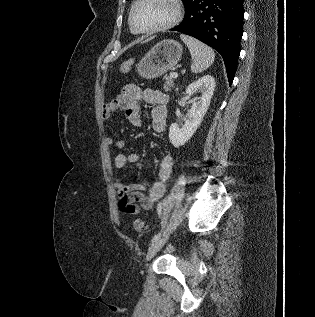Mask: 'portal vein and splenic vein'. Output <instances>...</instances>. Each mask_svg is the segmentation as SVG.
<instances>
[{"label":"portal vein and splenic vein","mask_w":315,"mask_h":317,"mask_svg":"<svg viewBox=\"0 0 315 317\" xmlns=\"http://www.w3.org/2000/svg\"><path fill=\"white\" fill-rule=\"evenodd\" d=\"M170 76H171L172 78H177V77H178V73H177V72H171V73H170Z\"/></svg>","instance_id":"portal-vein-and-splenic-vein-1"}]
</instances>
